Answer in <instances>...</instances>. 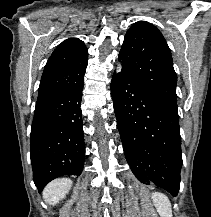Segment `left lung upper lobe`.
Instances as JSON below:
<instances>
[{"instance_id": "1", "label": "left lung upper lobe", "mask_w": 211, "mask_h": 217, "mask_svg": "<svg viewBox=\"0 0 211 217\" xmlns=\"http://www.w3.org/2000/svg\"><path fill=\"white\" fill-rule=\"evenodd\" d=\"M119 59L122 71L140 82L166 106L177 111V77L167 42L160 31L146 21L127 31Z\"/></svg>"}]
</instances>
